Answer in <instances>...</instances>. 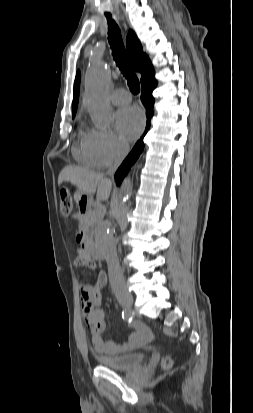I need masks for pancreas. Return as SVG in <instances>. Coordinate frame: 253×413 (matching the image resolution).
Listing matches in <instances>:
<instances>
[{"instance_id":"pancreas-1","label":"pancreas","mask_w":253,"mask_h":413,"mask_svg":"<svg viewBox=\"0 0 253 413\" xmlns=\"http://www.w3.org/2000/svg\"><path fill=\"white\" fill-rule=\"evenodd\" d=\"M103 212L100 208L94 207L87 210V212L80 218L79 227L91 236L96 232L97 226L101 223Z\"/></svg>"}]
</instances>
